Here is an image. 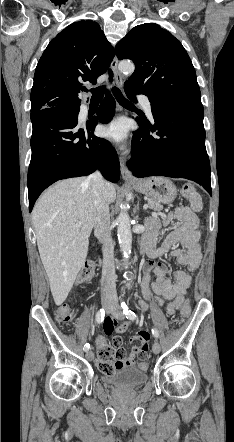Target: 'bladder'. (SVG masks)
<instances>
[{
    "label": "bladder",
    "mask_w": 234,
    "mask_h": 442,
    "mask_svg": "<svg viewBox=\"0 0 234 442\" xmlns=\"http://www.w3.org/2000/svg\"><path fill=\"white\" fill-rule=\"evenodd\" d=\"M148 379L146 368L125 366L104 376V381L120 388H135L144 384Z\"/></svg>",
    "instance_id": "31cf9c89"
}]
</instances>
